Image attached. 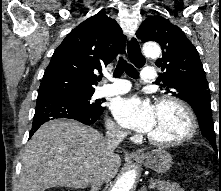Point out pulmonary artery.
<instances>
[{
  "instance_id": "obj_1",
  "label": "pulmonary artery",
  "mask_w": 221,
  "mask_h": 191,
  "mask_svg": "<svg viewBox=\"0 0 221 191\" xmlns=\"http://www.w3.org/2000/svg\"><path fill=\"white\" fill-rule=\"evenodd\" d=\"M158 77V73L150 68L145 67L141 72V79L144 82H152L156 80ZM131 88L130 83L127 80L114 79L112 84H104L98 88L95 93L97 98L110 97L114 95H120L126 93Z\"/></svg>"
}]
</instances>
